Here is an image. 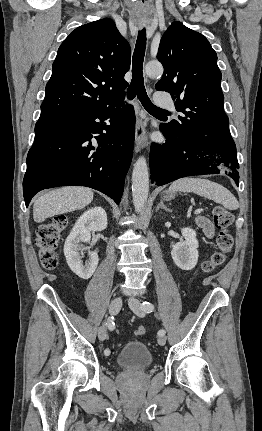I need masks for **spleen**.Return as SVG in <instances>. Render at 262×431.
<instances>
[{
	"mask_svg": "<svg viewBox=\"0 0 262 431\" xmlns=\"http://www.w3.org/2000/svg\"><path fill=\"white\" fill-rule=\"evenodd\" d=\"M193 192L216 203L222 204L228 210H236L239 203L235 196L224 186L208 179L197 177H185L174 181L169 192Z\"/></svg>",
	"mask_w": 262,
	"mask_h": 431,
	"instance_id": "spleen-1",
	"label": "spleen"
}]
</instances>
